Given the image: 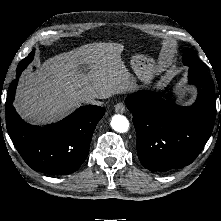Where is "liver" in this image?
<instances>
[{
    "instance_id": "obj_1",
    "label": "liver",
    "mask_w": 221,
    "mask_h": 221,
    "mask_svg": "<svg viewBox=\"0 0 221 221\" xmlns=\"http://www.w3.org/2000/svg\"><path fill=\"white\" fill-rule=\"evenodd\" d=\"M124 46L91 43L47 59L20 79L16 111L35 124L55 122L93 96L106 99L126 94L136 79L121 59Z\"/></svg>"
}]
</instances>
